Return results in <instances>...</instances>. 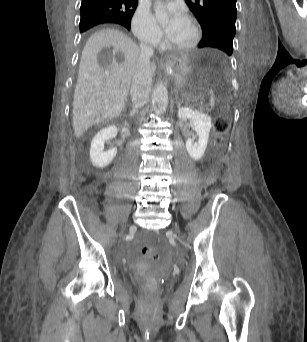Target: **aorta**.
<instances>
[{
    "mask_svg": "<svg viewBox=\"0 0 307 342\" xmlns=\"http://www.w3.org/2000/svg\"><path fill=\"white\" fill-rule=\"evenodd\" d=\"M152 106L157 116L166 112L168 106V90L165 84H157L152 94Z\"/></svg>",
    "mask_w": 307,
    "mask_h": 342,
    "instance_id": "aorta-1",
    "label": "aorta"
}]
</instances>
